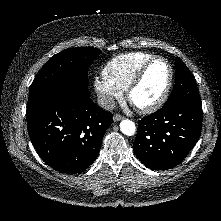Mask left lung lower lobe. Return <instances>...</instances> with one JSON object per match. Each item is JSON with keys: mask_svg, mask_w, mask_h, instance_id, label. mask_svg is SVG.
I'll return each instance as SVG.
<instances>
[{"mask_svg": "<svg viewBox=\"0 0 221 221\" xmlns=\"http://www.w3.org/2000/svg\"><path fill=\"white\" fill-rule=\"evenodd\" d=\"M201 105H164L141 119L133 150L152 170H166L181 163L197 142L202 127Z\"/></svg>", "mask_w": 221, "mask_h": 221, "instance_id": "0a47b994", "label": "left lung lower lobe"}]
</instances>
